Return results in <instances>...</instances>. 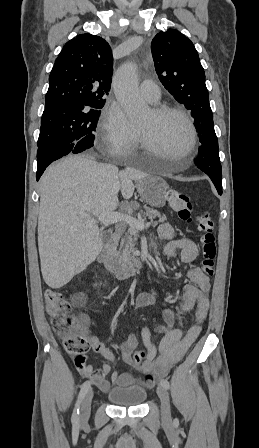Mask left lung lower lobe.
<instances>
[{"mask_svg": "<svg viewBox=\"0 0 259 448\" xmlns=\"http://www.w3.org/2000/svg\"><path fill=\"white\" fill-rule=\"evenodd\" d=\"M195 164L211 178L218 193L222 194V169L218 152V140L207 142L200 146Z\"/></svg>", "mask_w": 259, "mask_h": 448, "instance_id": "left-lung-lower-lobe-1", "label": "left lung lower lobe"}]
</instances>
